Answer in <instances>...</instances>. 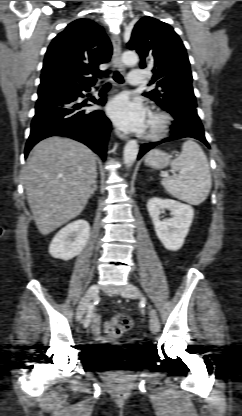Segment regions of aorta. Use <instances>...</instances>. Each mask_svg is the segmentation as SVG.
Listing matches in <instances>:
<instances>
[{"mask_svg": "<svg viewBox=\"0 0 242 416\" xmlns=\"http://www.w3.org/2000/svg\"><path fill=\"white\" fill-rule=\"evenodd\" d=\"M138 55L134 51H126L122 55V61L127 66H134L138 62ZM139 152V145L135 140H130L124 147L123 161L126 167H131Z\"/></svg>", "mask_w": 242, "mask_h": 416, "instance_id": "762f6f07", "label": "aorta"}]
</instances>
